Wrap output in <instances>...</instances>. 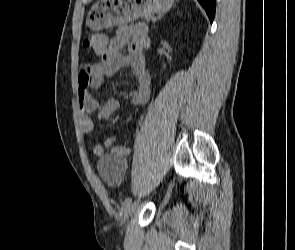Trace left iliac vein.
Listing matches in <instances>:
<instances>
[{"label": "left iliac vein", "instance_id": "4c4485c4", "mask_svg": "<svg viewBox=\"0 0 295 250\" xmlns=\"http://www.w3.org/2000/svg\"><path fill=\"white\" fill-rule=\"evenodd\" d=\"M137 207V203L134 202L133 204H130L129 206H127L124 210V219L122 220V226H125V217L128 215V213L133 212L135 210V208Z\"/></svg>", "mask_w": 295, "mask_h": 250}]
</instances>
